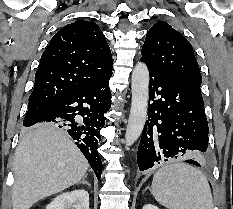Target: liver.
<instances>
[{
  "label": "liver",
  "instance_id": "liver-1",
  "mask_svg": "<svg viewBox=\"0 0 233 209\" xmlns=\"http://www.w3.org/2000/svg\"><path fill=\"white\" fill-rule=\"evenodd\" d=\"M89 164L68 134L41 124L25 134L16 149L13 209H29L37 201L78 183Z\"/></svg>",
  "mask_w": 233,
  "mask_h": 209
}]
</instances>
